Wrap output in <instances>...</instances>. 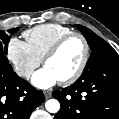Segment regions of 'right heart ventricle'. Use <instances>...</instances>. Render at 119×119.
<instances>
[{
	"label": "right heart ventricle",
	"instance_id": "right-heart-ventricle-1",
	"mask_svg": "<svg viewBox=\"0 0 119 119\" xmlns=\"http://www.w3.org/2000/svg\"><path fill=\"white\" fill-rule=\"evenodd\" d=\"M74 31L60 24H43L24 32L32 52L42 60L48 50L62 37Z\"/></svg>",
	"mask_w": 119,
	"mask_h": 119
}]
</instances>
